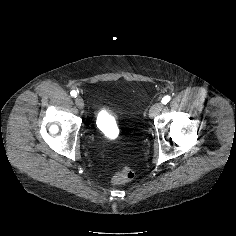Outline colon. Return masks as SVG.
Masks as SVG:
<instances>
[{"label":"colon","mask_w":236,"mask_h":236,"mask_svg":"<svg viewBox=\"0 0 236 236\" xmlns=\"http://www.w3.org/2000/svg\"><path fill=\"white\" fill-rule=\"evenodd\" d=\"M133 177V170L130 167L125 166L120 172L114 175L112 178V183L115 185L123 184L133 179Z\"/></svg>","instance_id":"colon-1"}]
</instances>
